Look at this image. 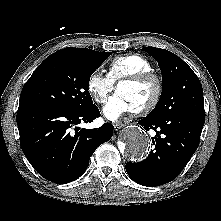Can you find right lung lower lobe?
<instances>
[{"instance_id": "right-lung-lower-lobe-1", "label": "right lung lower lobe", "mask_w": 221, "mask_h": 221, "mask_svg": "<svg viewBox=\"0 0 221 221\" xmlns=\"http://www.w3.org/2000/svg\"><path fill=\"white\" fill-rule=\"evenodd\" d=\"M100 116L96 105L82 111L56 106L20 103L17 124L21 148L34 169L54 183H69L80 177L89 159L113 135V125L96 129L73 127Z\"/></svg>"}]
</instances>
